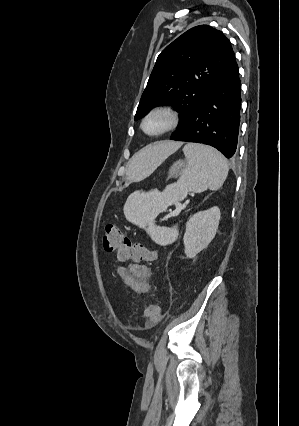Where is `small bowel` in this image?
I'll use <instances>...</instances> for the list:
<instances>
[{
	"instance_id": "obj_1",
	"label": "small bowel",
	"mask_w": 299,
	"mask_h": 426,
	"mask_svg": "<svg viewBox=\"0 0 299 426\" xmlns=\"http://www.w3.org/2000/svg\"><path fill=\"white\" fill-rule=\"evenodd\" d=\"M117 273L133 291L137 293L148 291L151 271L146 265L131 263L127 267L118 266Z\"/></svg>"
}]
</instances>
